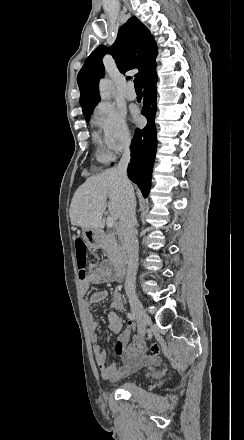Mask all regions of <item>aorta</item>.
<instances>
[{"mask_svg": "<svg viewBox=\"0 0 244 440\" xmlns=\"http://www.w3.org/2000/svg\"><path fill=\"white\" fill-rule=\"evenodd\" d=\"M113 90L114 86L111 80L105 78L100 81L99 91L102 99L109 100L111 98Z\"/></svg>", "mask_w": 244, "mask_h": 440, "instance_id": "1", "label": "aorta"}]
</instances>
